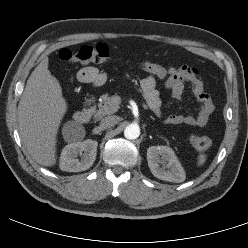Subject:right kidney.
Segmentation results:
<instances>
[{"mask_svg": "<svg viewBox=\"0 0 248 248\" xmlns=\"http://www.w3.org/2000/svg\"><path fill=\"white\" fill-rule=\"evenodd\" d=\"M97 141L85 140L66 145L60 156V169L67 172H81L89 169L96 159ZM80 156L81 160L77 157Z\"/></svg>", "mask_w": 248, "mask_h": 248, "instance_id": "obj_1", "label": "right kidney"}]
</instances>
